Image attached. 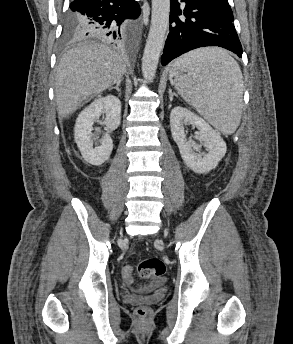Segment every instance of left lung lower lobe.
<instances>
[{"mask_svg": "<svg viewBox=\"0 0 293 344\" xmlns=\"http://www.w3.org/2000/svg\"><path fill=\"white\" fill-rule=\"evenodd\" d=\"M171 0L170 32L161 63L167 65L174 58L199 47L219 46L242 58V46L236 33L231 8L221 0ZM184 14L186 20L179 19Z\"/></svg>", "mask_w": 293, "mask_h": 344, "instance_id": "obj_1", "label": "left lung lower lobe"}]
</instances>
